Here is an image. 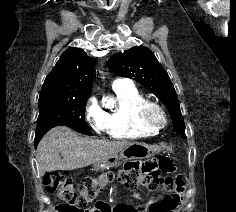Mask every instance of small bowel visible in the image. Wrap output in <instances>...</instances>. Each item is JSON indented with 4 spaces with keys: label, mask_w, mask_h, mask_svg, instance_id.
<instances>
[{
    "label": "small bowel",
    "mask_w": 236,
    "mask_h": 212,
    "mask_svg": "<svg viewBox=\"0 0 236 212\" xmlns=\"http://www.w3.org/2000/svg\"><path fill=\"white\" fill-rule=\"evenodd\" d=\"M166 171L165 173H171ZM177 191L168 195H156L150 201L146 202L143 211L130 205H106L110 204V199H95V204L89 205V209H83V212H178L180 207V196L182 194V185L179 178L175 179ZM122 190H138V185H122ZM123 202V199H120Z\"/></svg>",
    "instance_id": "c3829d8e"
}]
</instances>
